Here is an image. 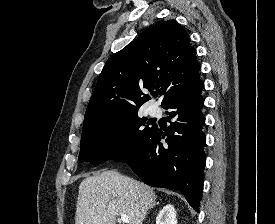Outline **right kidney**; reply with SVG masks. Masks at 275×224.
<instances>
[{
	"label": "right kidney",
	"instance_id": "ca27d5eb",
	"mask_svg": "<svg viewBox=\"0 0 275 224\" xmlns=\"http://www.w3.org/2000/svg\"><path fill=\"white\" fill-rule=\"evenodd\" d=\"M156 224H177L176 211L173 205L163 207L156 218Z\"/></svg>",
	"mask_w": 275,
	"mask_h": 224
}]
</instances>
